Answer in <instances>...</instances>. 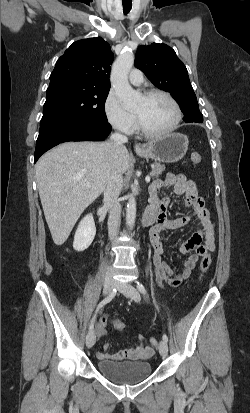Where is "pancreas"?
Wrapping results in <instances>:
<instances>
[{
    "mask_svg": "<svg viewBox=\"0 0 250 413\" xmlns=\"http://www.w3.org/2000/svg\"><path fill=\"white\" fill-rule=\"evenodd\" d=\"M165 170V166L161 165L160 163H155L152 167L151 176L158 177L162 172Z\"/></svg>",
    "mask_w": 250,
    "mask_h": 413,
    "instance_id": "pancreas-1",
    "label": "pancreas"
}]
</instances>
